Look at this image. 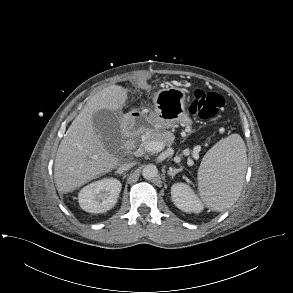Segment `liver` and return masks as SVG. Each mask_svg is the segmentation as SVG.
Listing matches in <instances>:
<instances>
[{
  "instance_id": "1",
  "label": "liver",
  "mask_w": 293,
  "mask_h": 293,
  "mask_svg": "<svg viewBox=\"0 0 293 293\" xmlns=\"http://www.w3.org/2000/svg\"><path fill=\"white\" fill-rule=\"evenodd\" d=\"M127 90L108 86L87 102L62 139L54 164V179L59 193L80 188L96 177L113 170L119 160L105 148L93 125V115L101 109H121Z\"/></svg>"
}]
</instances>
